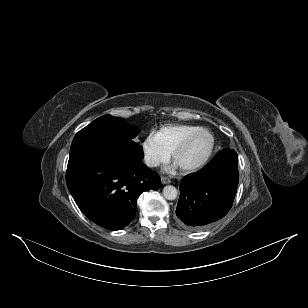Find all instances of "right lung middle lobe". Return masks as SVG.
Returning a JSON list of instances; mask_svg holds the SVG:
<instances>
[{"instance_id": "obj_1", "label": "right lung middle lobe", "mask_w": 308, "mask_h": 308, "mask_svg": "<svg viewBox=\"0 0 308 308\" xmlns=\"http://www.w3.org/2000/svg\"><path fill=\"white\" fill-rule=\"evenodd\" d=\"M139 132V128L125 119L111 115L101 116L75 135L69 159L83 155L107 154L142 160V146L133 141Z\"/></svg>"}]
</instances>
